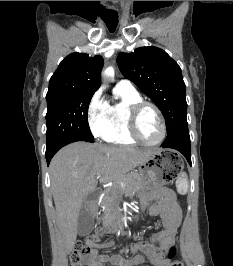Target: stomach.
Returning a JSON list of instances; mask_svg holds the SVG:
<instances>
[{
	"mask_svg": "<svg viewBox=\"0 0 233 266\" xmlns=\"http://www.w3.org/2000/svg\"><path fill=\"white\" fill-rule=\"evenodd\" d=\"M183 160L181 152H175V147H158V151L139 166L142 187L149 188L155 182L157 185H174L183 167L168 166H184Z\"/></svg>",
	"mask_w": 233,
	"mask_h": 266,
	"instance_id": "1",
	"label": "stomach"
}]
</instances>
